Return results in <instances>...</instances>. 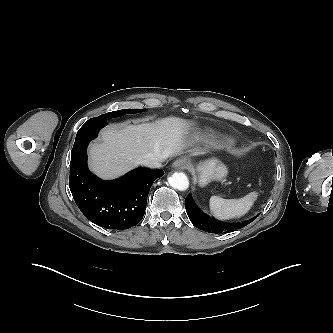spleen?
I'll list each match as a JSON object with an SVG mask.
<instances>
[{"label": "spleen", "mask_w": 333, "mask_h": 333, "mask_svg": "<svg viewBox=\"0 0 333 333\" xmlns=\"http://www.w3.org/2000/svg\"><path fill=\"white\" fill-rule=\"evenodd\" d=\"M257 192H251L240 199L226 200L219 196L210 198V210L215 217L227 220L245 215L257 199Z\"/></svg>", "instance_id": "3e777b00"}]
</instances>
